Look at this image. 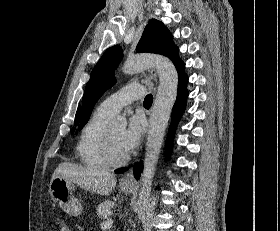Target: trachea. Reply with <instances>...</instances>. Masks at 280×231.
Masks as SVG:
<instances>
[{
  "label": "trachea",
  "instance_id": "obj_1",
  "mask_svg": "<svg viewBox=\"0 0 280 231\" xmlns=\"http://www.w3.org/2000/svg\"><path fill=\"white\" fill-rule=\"evenodd\" d=\"M153 102V96L152 95H147L144 99V106L145 108H150L151 104Z\"/></svg>",
  "mask_w": 280,
  "mask_h": 231
}]
</instances>
